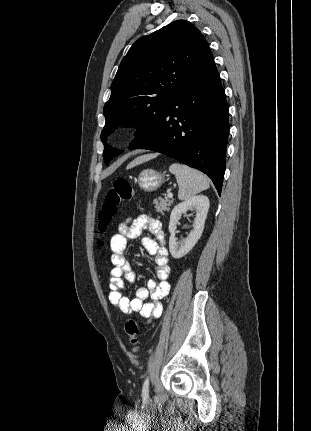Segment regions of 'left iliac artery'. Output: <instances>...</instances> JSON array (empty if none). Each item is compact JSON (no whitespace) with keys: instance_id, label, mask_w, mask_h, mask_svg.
Wrapping results in <instances>:
<instances>
[{"instance_id":"obj_1","label":"left iliac artery","mask_w":311,"mask_h":431,"mask_svg":"<svg viewBox=\"0 0 311 431\" xmlns=\"http://www.w3.org/2000/svg\"><path fill=\"white\" fill-rule=\"evenodd\" d=\"M149 393V378L147 377L144 381L143 387H142V398L144 401L147 400Z\"/></svg>"}]
</instances>
